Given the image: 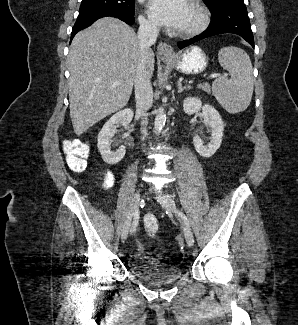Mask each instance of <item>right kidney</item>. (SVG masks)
<instances>
[{
    "label": "right kidney",
    "instance_id": "1",
    "mask_svg": "<svg viewBox=\"0 0 298 325\" xmlns=\"http://www.w3.org/2000/svg\"><path fill=\"white\" fill-rule=\"evenodd\" d=\"M134 116L132 108H124V110H119L115 112L105 124H103L98 136H97V146L100 150V154L107 165H116L119 160H122L125 152L126 146H119L117 150H111L112 138H114L118 126H128Z\"/></svg>",
    "mask_w": 298,
    "mask_h": 325
}]
</instances>
